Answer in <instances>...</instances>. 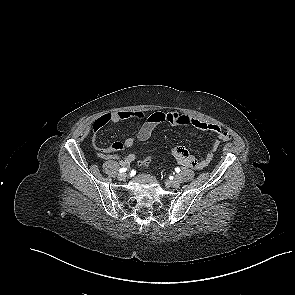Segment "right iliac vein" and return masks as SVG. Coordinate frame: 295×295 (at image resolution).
<instances>
[{
    "label": "right iliac vein",
    "mask_w": 295,
    "mask_h": 295,
    "mask_svg": "<svg viewBox=\"0 0 295 295\" xmlns=\"http://www.w3.org/2000/svg\"><path fill=\"white\" fill-rule=\"evenodd\" d=\"M126 177H127V175L125 174V173H120L119 175H118V179L119 180H125L126 179Z\"/></svg>",
    "instance_id": "1"
}]
</instances>
